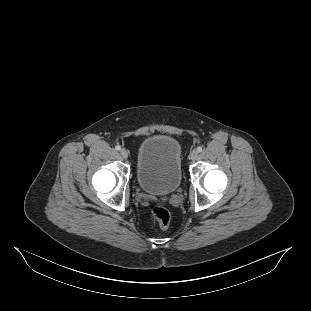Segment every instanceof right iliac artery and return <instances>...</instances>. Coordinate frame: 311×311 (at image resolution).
<instances>
[{"label": "right iliac artery", "mask_w": 311, "mask_h": 311, "mask_svg": "<svg viewBox=\"0 0 311 311\" xmlns=\"http://www.w3.org/2000/svg\"><path fill=\"white\" fill-rule=\"evenodd\" d=\"M115 149H116L117 151H119V150L121 149V147H120L119 145H117V146H115Z\"/></svg>", "instance_id": "right-iliac-artery-1"}]
</instances>
